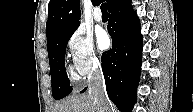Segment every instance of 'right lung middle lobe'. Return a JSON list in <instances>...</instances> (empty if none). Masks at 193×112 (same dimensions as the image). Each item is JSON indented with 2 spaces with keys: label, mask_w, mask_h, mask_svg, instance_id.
<instances>
[{
  "label": "right lung middle lobe",
  "mask_w": 193,
  "mask_h": 112,
  "mask_svg": "<svg viewBox=\"0 0 193 112\" xmlns=\"http://www.w3.org/2000/svg\"><path fill=\"white\" fill-rule=\"evenodd\" d=\"M76 29L77 27H74L60 33L47 45L54 99L64 98L72 91L66 74L64 57L67 43Z\"/></svg>",
  "instance_id": "1"
}]
</instances>
